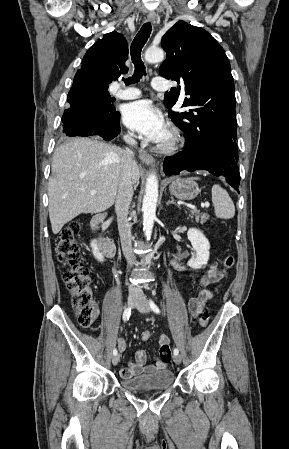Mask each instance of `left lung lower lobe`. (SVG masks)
<instances>
[{
	"label": "left lung lower lobe",
	"instance_id": "obj_1",
	"mask_svg": "<svg viewBox=\"0 0 289 449\" xmlns=\"http://www.w3.org/2000/svg\"><path fill=\"white\" fill-rule=\"evenodd\" d=\"M186 135L183 151L165 158L163 169L166 175H177L181 171L207 170L215 176L225 177L226 181L238 190L240 174L236 164V138L231 137L229 132L218 129L205 131L196 137Z\"/></svg>",
	"mask_w": 289,
	"mask_h": 449
}]
</instances>
